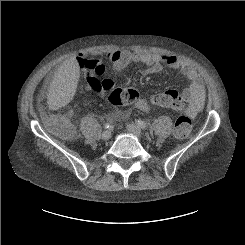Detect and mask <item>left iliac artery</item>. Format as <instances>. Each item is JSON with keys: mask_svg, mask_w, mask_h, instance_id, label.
<instances>
[{"mask_svg": "<svg viewBox=\"0 0 245 245\" xmlns=\"http://www.w3.org/2000/svg\"><path fill=\"white\" fill-rule=\"evenodd\" d=\"M136 124L141 128V129H146L147 125L145 122H143L142 120H137Z\"/></svg>", "mask_w": 245, "mask_h": 245, "instance_id": "44dca946", "label": "left iliac artery"}]
</instances>
